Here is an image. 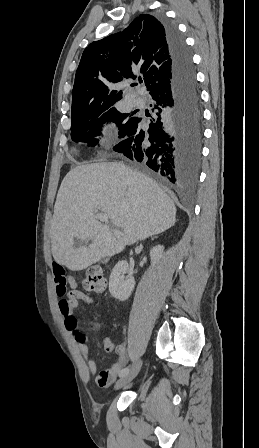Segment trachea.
Masks as SVG:
<instances>
[{
  "mask_svg": "<svg viewBox=\"0 0 259 448\" xmlns=\"http://www.w3.org/2000/svg\"><path fill=\"white\" fill-rule=\"evenodd\" d=\"M139 83H142V81H139ZM134 85H137V83H135Z\"/></svg>",
  "mask_w": 259,
  "mask_h": 448,
  "instance_id": "trachea-1",
  "label": "trachea"
}]
</instances>
